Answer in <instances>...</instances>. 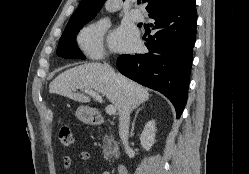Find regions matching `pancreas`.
Wrapping results in <instances>:
<instances>
[{"label":"pancreas","mask_w":249,"mask_h":174,"mask_svg":"<svg viewBox=\"0 0 249 174\" xmlns=\"http://www.w3.org/2000/svg\"><path fill=\"white\" fill-rule=\"evenodd\" d=\"M104 145H103V154L104 158L108 159L111 158L112 155H116L118 151L117 143L114 141L112 135L109 137H104L103 139Z\"/></svg>","instance_id":"obj_1"}]
</instances>
